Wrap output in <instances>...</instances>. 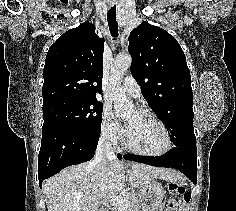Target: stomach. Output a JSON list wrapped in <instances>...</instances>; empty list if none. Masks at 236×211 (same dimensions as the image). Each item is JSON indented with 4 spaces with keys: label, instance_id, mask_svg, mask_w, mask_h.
I'll return each instance as SVG.
<instances>
[{
    "label": "stomach",
    "instance_id": "stomach-1",
    "mask_svg": "<svg viewBox=\"0 0 236 211\" xmlns=\"http://www.w3.org/2000/svg\"><path fill=\"white\" fill-rule=\"evenodd\" d=\"M137 196L141 211H157L165 196V190L161 184L150 180L139 188Z\"/></svg>",
    "mask_w": 236,
    "mask_h": 211
}]
</instances>
